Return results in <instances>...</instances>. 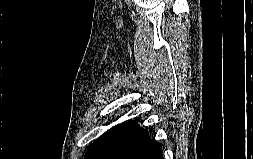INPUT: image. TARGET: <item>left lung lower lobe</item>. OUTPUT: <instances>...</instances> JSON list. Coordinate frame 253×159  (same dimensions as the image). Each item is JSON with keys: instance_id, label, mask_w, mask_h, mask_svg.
Instances as JSON below:
<instances>
[{"instance_id": "obj_1", "label": "left lung lower lobe", "mask_w": 253, "mask_h": 159, "mask_svg": "<svg viewBox=\"0 0 253 159\" xmlns=\"http://www.w3.org/2000/svg\"><path fill=\"white\" fill-rule=\"evenodd\" d=\"M161 146L136 121H128L99 137L84 159H163Z\"/></svg>"}]
</instances>
